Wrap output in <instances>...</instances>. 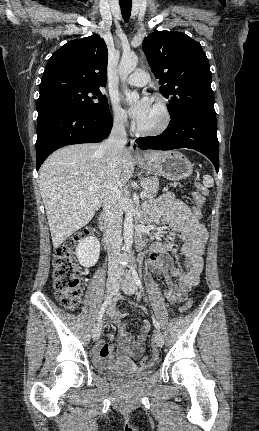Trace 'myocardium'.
Instances as JSON below:
<instances>
[{"instance_id":"1","label":"myocardium","mask_w":259,"mask_h":431,"mask_svg":"<svg viewBox=\"0 0 259 431\" xmlns=\"http://www.w3.org/2000/svg\"><path fill=\"white\" fill-rule=\"evenodd\" d=\"M152 101H154L161 110L162 113V121L154 129L145 130L141 129L137 124L134 126V130L138 135L153 137L163 134L169 127L171 123V113L168 106V102L165 97L160 94H154L152 96Z\"/></svg>"}]
</instances>
